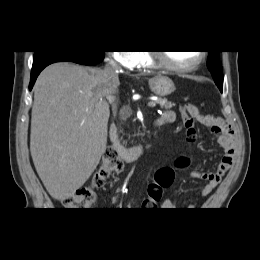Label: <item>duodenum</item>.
<instances>
[{"label": "duodenum", "instance_id": "1", "mask_svg": "<svg viewBox=\"0 0 260 260\" xmlns=\"http://www.w3.org/2000/svg\"><path fill=\"white\" fill-rule=\"evenodd\" d=\"M159 121L157 125H159ZM110 140L111 149L117 153V155L126 162H131L138 159L140 156L144 155L147 151V146L144 143L134 145V146H124L122 145L117 137L116 128L114 125L110 127Z\"/></svg>", "mask_w": 260, "mask_h": 260}]
</instances>
